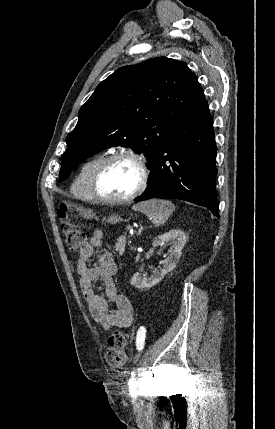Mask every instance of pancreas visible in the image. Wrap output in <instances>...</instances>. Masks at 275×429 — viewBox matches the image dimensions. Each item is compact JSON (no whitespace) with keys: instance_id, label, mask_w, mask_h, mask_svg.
<instances>
[{"instance_id":"obj_1","label":"pancreas","mask_w":275,"mask_h":429,"mask_svg":"<svg viewBox=\"0 0 275 429\" xmlns=\"http://www.w3.org/2000/svg\"><path fill=\"white\" fill-rule=\"evenodd\" d=\"M125 244H126L125 235L119 236V238H117V242L115 244V249H116V251L119 252L120 255H122L125 251Z\"/></svg>"}]
</instances>
